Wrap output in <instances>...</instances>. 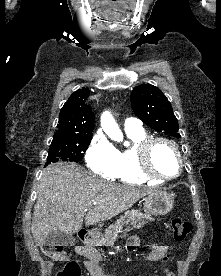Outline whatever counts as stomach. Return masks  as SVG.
<instances>
[{"instance_id":"1","label":"stomach","mask_w":221,"mask_h":276,"mask_svg":"<svg viewBox=\"0 0 221 276\" xmlns=\"http://www.w3.org/2000/svg\"><path fill=\"white\" fill-rule=\"evenodd\" d=\"M173 205L174 197L165 191H154L144 199V210L150 215H165L171 211ZM98 237L94 236L93 242H96Z\"/></svg>"}]
</instances>
